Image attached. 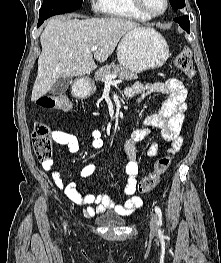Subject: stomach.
<instances>
[{"label":"stomach","mask_w":221,"mask_h":263,"mask_svg":"<svg viewBox=\"0 0 221 263\" xmlns=\"http://www.w3.org/2000/svg\"><path fill=\"white\" fill-rule=\"evenodd\" d=\"M166 40L155 30H132L124 35L117 48L120 65L132 72L140 73L161 67L169 58ZM94 89L88 83V91Z\"/></svg>","instance_id":"obj_1"}]
</instances>
